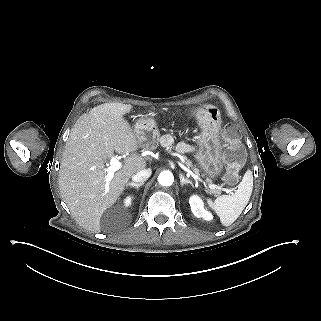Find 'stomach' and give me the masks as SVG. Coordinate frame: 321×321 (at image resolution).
<instances>
[{
  "mask_svg": "<svg viewBox=\"0 0 321 321\" xmlns=\"http://www.w3.org/2000/svg\"><path fill=\"white\" fill-rule=\"evenodd\" d=\"M198 132L193 138L196 147L193 157L204 176L215 180L225 169L221 159L220 133L223 129L222 113L215 107L200 105L192 114ZM140 147L146 150H155L160 139L158 122L153 113L144 115L135 124Z\"/></svg>",
  "mask_w": 321,
  "mask_h": 321,
  "instance_id": "stomach-1",
  "label": "stomach"
}]
</instances>
